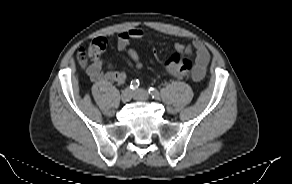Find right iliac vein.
<instances>
[{"label":"right iliac vein","mask_w":292,"mask_h":184,"mask_svg":"<svg viewBox=\"0 0 292 184\" xmlns=\"http://www.w3.org/2000/svg\"><path fill=\"white\" fill-rule=\"evenodd\" d=\"M132 95H133V93L130 90V88L124 89L122 91V94H121V100H122V102H124V103L129 102L131 100V98H132Z\"/></svg>","instance_id":"63e3f726"}]
</instances>
